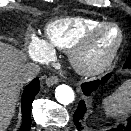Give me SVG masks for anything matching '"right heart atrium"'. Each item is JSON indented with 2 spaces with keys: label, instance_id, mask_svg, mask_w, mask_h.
<instances>
[{
  "label": "right heart atrium",
  "instance_id": "1",
  "mask_svg": "<svg viewBox=\"0 0 131 131\" xmlns=\"http://www.w3.org/2000/svg\"><path fill=\"white\" fill-rule=\"evenodd\" d=\"M27 53L29 57L40 62L48 61L53 56V52L46 42L34 35L28 41Z\"/></svg>",
  "mask_w": 131,
  "mask_h": 131
}]
</instances>
